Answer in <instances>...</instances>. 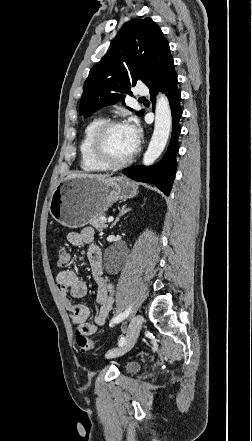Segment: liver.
I'll return each instance as SVG.
<instances>
[{
	"label": "liver",
	"instance_id": "1",
	"mask_svg": "<svg viewBox=\"0 0 252 441\" xmlns=\"http://www.w3.org/2000/svg\"><path fill=\"white\" fill-rule=\"evenodd\" d=\"M75 177H91V178H96V179H105V178H108L109 175L73 173V174H70L67 178H75Z\"/></svg>",
	"mask_w": 252,
	"mask_h": 441
}]
</instances>
